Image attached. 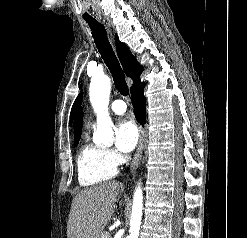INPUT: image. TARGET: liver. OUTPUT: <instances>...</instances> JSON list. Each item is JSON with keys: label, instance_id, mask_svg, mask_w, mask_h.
I'll return each mask as SVG.
<instances>
[{"label": "liver", "instance_id": "liver-1", "mask_svg": "<svg viewBox=\"0 0 247 238\" xmlns=\"http://www.w3.org/2000/svg\"><path fill=\"white\" fill-rule=\"evenodd\" d=\"M117 182L80 191L73 199L67 223L68 238H100L115 209Z\"/></svg>", "mask_w": 247, "mask_h": 238}]
</instances>
